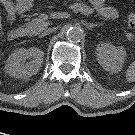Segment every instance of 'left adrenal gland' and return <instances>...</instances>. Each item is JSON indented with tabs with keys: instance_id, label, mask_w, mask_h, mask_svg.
I'll use <instances>...</instances> for the list:
<instances>
[{
	"instance_id": "left-adrenal-gland-1",
	"label": "left adrenal gland",
	"mask_w": 135,
	"mask_h": 135,
	"mask_svg": "<svg viewBox=\"0 0 135 135\" xmlns=\"http://www.w3.org/2000/svg\"><path fill=\"white\" fill-rule=\"evenodd\" d=\"M97 26H100V24L86 23V27L88 30Z\"/></svg>"
}]
</instances>
